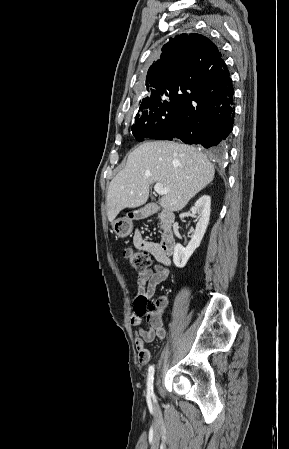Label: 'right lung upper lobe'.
I'll return each mask as SVG.
<instances>
[{
	"label": "right lung upper lobe",
	"instance_id": "1",
	"mask_svg": "<svg viewBox=\"0 0 289 449\" xmlns=\"http://www.w3.org/2000/svg\"><path fill=\"white\" fill-rule=\"evenodd\" d=\"M224 65L222 54L207 37L196 33L177 35L163 45L160 59L150 66L147 91L152 94L178 89L184 82L208 80Z\"/></svg>",
	"mask_w": 289,
	"mask_h": 449
}]
</instances>
